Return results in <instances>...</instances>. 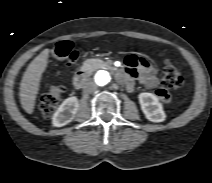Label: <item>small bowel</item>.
Masks as SVG:
<instances>
[{"mask_svg": "<svg viewBox=\"0 0 212 183\" xmlns=\"http://www.w3.org/2000/svg\"><path fill=\"white\" fill-rule=\"evenodd\" d=\"M157 75L158 68L154 64L143 57L129 55L119 79L129 91L135 88L136 81L147 89H153L159 84Z\"/></svg>", "mask_w": 212, "mask_h": 183, "instance_id": "small-bowel-1", "label": "small bowel"}]
</instances>
